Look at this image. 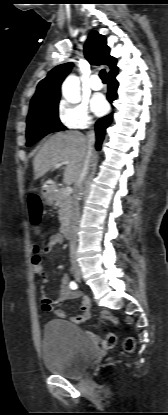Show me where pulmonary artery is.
<instances>
[{
    "label": "pulmonary artery",
    "instance_id": "e3ab8cb5",
    "mask_svg": "<svg viewBox=\"0 0 168 415\" xmlns=\"http://www.w3.org/2000/svg\"><path fill=\"white\" fill-rule=\"evenodd\" d=\"M102 86L103 85H102V82H101L99 76L96 75V74L93 75L91 77V79H90V87H91V89L97 91V90L102 89Z\"/></svg>",
    "mask_w": 168,
    "mask_h": 415
}]
</instances>
